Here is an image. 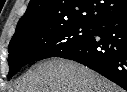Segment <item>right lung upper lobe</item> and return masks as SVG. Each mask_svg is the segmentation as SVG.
I'll use <instances>...</instances> for the list:
<instances>
[{"instance_id": "obj_1", "label": "right lung upper lobe", "mask_w": 127, "mask_h": 92, "mask_svg": "<svg viewBox=\"0 0 127 92\" xmlns=\"http://www.w3.org/2000/svg\"><path fill=\"white\" fill-rule=\"evenodd\" d=\"M126 11L127 0H31L12 38L39 27L96 25Z\"/></svg>"}]
</instances>
